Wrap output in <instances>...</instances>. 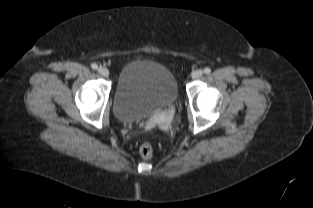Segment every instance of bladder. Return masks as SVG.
<instances>
[{
    "instance_id": "bladder-1",
    "label": "bladder",
    "mask_w": 313,
    "mask_h": 208,
    "mask_svg": "<svg viewBox=\"0 0 313 208\" xmlns=\"http://www.w3.org/2000/svg\"><path fill=\"white\" fill-rule=\"evenodd\" d=\"M177 97V81L168 68L153 61H133L119 72L114 110L121 121H139L173 104Z\"/></svg>"
}]
</instances>
